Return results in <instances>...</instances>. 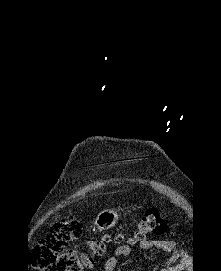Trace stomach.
<instances>
[{
  "mask_svg": "<svg viewBox=\"0 0 221 271\" xmlns=\"http://www.w3.org/2000/svg\"><path fill=\"white\" fill-rule=\"evenodd\" d=\"M118 213L115 209H104L98 213L94 223L97 229H108L117 223Z\"/></svg>",
  "mask_w": 221,
  "mask_h": 271,
  "instance_id": "stomach-1",
  "label": "stomach"
}]
</instances>
